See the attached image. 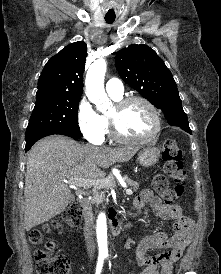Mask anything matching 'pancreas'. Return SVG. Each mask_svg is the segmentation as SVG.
I'll return each instance as SVG.
<instances>
[{"mask_svg": "<svg viewBox=\"0 0 221 274\" xmlns=\"http://www.w3.org/2000/svg\"><path fill=\"white\" fill-rule=\"evenodd\" d=\"M123 180L126 182V184L128 185V186H130L132 189H133V191H137L138 190V188H139V185H138V183L136 182V181H133L132 179H130V178H128L127 176H124L123 177ZM104 200V197H103V195H102V193L98 190V189H95L94 191H93V193H92V198H91V200L88 202V206H91V205H93V204H99V203H101L102 201Z\"/></svg>", "mask_w": 221, "mask_h": 274, "instance_id": "cf45deb5", "label": "pancreas"}]
</instances>
